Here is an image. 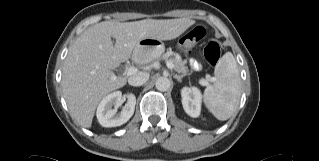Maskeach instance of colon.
Wrapping results in <instances>:
<instances>
[{
    "label": "colon",
    "mask_w": 319,
    "mask_h": 161,
    "mask_svg": "<svg viewBox=\"0 0 319 161\" xmlns=\"http://www.w3.org/2000/svg\"><path fill=\"white\" fill-rule=\"evenodd\" d=\"M205 35L206 31L202 26H195L180 39V48L183 50L193 48L205 37ZM203 57L209 64H217L221 58V48L219 43L214 40H210L203 50Z\"/></svg>",
    "instance_id": "5ec220e1"
}]
</instances>
